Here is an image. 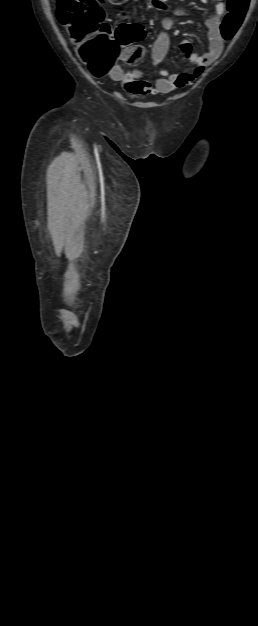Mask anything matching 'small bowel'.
Wrapping results in <instances>:
<instances>
[{
  "label": "small bowel",
  "mask_w": 258,
  "mask_h": 626,
  "mask_svg": "<svg viewBox=\"0 0 258 626\" xmlns=\"http://www.w3.org/2000/svg\"><path fill=\"white\" fill-rule=\"evenodd\" d=\"M140 1L141 0H133L132 3ZM166 1L167 0H147V4L159 10H167ZM201 1L207 2L208 0ZM125 11L126 9H123L117 14V21L123 19ZM225 12V3L222 0H216L215 14L206 22L209 29L208 37L210 41L207 52L203 54L194 52L189 40L183 39L181 41L180 49L182 53L194 64L192 71L178 73L162 70V77L157 79L155 83H151L142 79V71L136 69L124 72L118 63H114L108 70V76L112 80L119 82L127 92L134 95L167 94L184 87L199 77L204 69L221 55L223 39L220 35V22ZM175 14L181 16L185 15V12L182 9H178L175 11ZM162 24L165 30H170L173 27V20L171 18H165ZM169 45L170 38L167 32L163 31L159 33L152 47V65L154 67L158 66L165 59Z\"/></svg>",
  "instance_id": "obj_1"
}]
</instances>
